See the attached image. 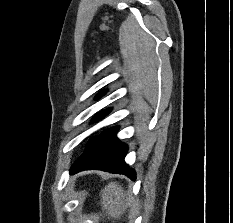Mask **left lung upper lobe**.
Masks as SVG:
<instances>
[{"label":"left lung upper lobe","mask_w":233,"mask_h":223,"mask_svg":"<svg viewBox=\"0 0 233 223\" xmlns=\"http://www.w3.org/2000/svg\"><path fill=\"white\" fill-rule=\"evenodd\" d=\"M104 93H105L104 91L100 92V93L97 95L96 99L100 98L102 95H104ZM110 111H111V109H107V110H104V111L99 112L98 114L95 115V117L93 118V121H98V120L102 119V118L105 117ZM94 139H95V138L91 139L87 145H89Z\"/></svg>","instance_id":"obj_1"}]
</instances>
